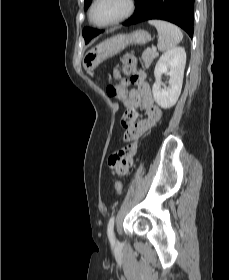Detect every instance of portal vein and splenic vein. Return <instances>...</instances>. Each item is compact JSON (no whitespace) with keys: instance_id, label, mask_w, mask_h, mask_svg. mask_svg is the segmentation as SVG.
<instances>
[{"instance_id":"18ae733b","label":"portal vein and splenic vein","mask_w":229,"mask_h":280,"mask_svg":"<svg viewBox=\"0 0 229 280\" xmlns=\"http://www.w3.org/2000/svg\"><path fill=\"white\" fill-rule=\"evenodd\" d=\"M152 50H153V51H156V47L152 46Z\"/></svg>"}]
</instances>
